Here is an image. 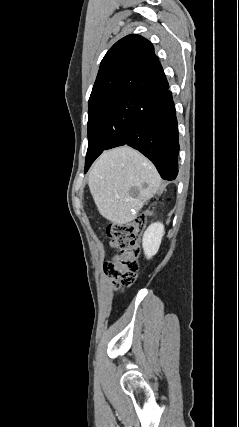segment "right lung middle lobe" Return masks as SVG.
Listing matches in <instances>:
<instances>
[{
	"label": "right lung middle lobe",
	"instance_id": "obj_1",
	"mask_svg": "<svg viewBox=\"0 0 239 427\" xmlns=\"http://www.w3.org/2000/svg\"><path fill=\"white\" fill-rule=\"evenodd\" d=\"M143 104V97L124 96L89 105L85 172L104 150L120 146L127 139L132 120Z\"/></svg>",
	"mask_w": 239,
	"mask_h": 427
}]
</instances>
